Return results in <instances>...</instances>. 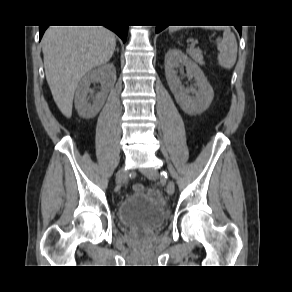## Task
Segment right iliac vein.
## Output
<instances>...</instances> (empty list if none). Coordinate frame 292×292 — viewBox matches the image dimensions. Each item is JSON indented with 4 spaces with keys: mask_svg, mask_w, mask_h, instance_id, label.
Returning <instances> with one entry per match:
<instances>
[{
    "mask_svg": "<svg viewBox=\"0 0 292 292\" xmlns=\"http://www.w3.org/2000/svg\"><path fill=\"white\" fill-rule=\"evenodd\" d=\"M127 181V175L123 170H119L116 173V183L117 184H121V183H125Z\"/></svg>",
    "mask_w": 292,
    "mask_h": 292,
    "instance_id": "obj_1",
    "label": "right iliac vein"
}]
</instances>
